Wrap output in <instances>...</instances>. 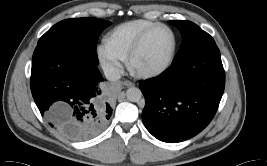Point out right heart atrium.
<instances>
[{"label": "right heart atrium", "mask_w": 267, "mask_h": 166, "mask_svg": "<svg viewBox=\"0 0 267 166\" xmlns=\"http://www.w3.org/2000/svg\"><path fill=\"white\" fill-rule=\"evenodd\" d=\"M97 57L109 75L115 76L119 73L123 59L111 48L108 42L98 45Z\"/></svg>", "instance_id": "1"}]
</instances>
